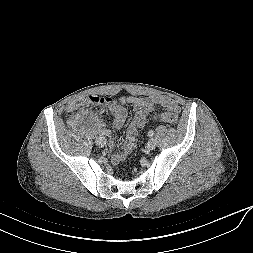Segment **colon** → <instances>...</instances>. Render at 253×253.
<instances>
[{
	"label": "colon",
	"instance_id": "1",
	"mask_svg": "<svg viewBox=\"0 0 253 253\" xmlns=\"http://www.w3.org/2000/svg\"><path fill=\"white\" fill-rule=\"evenodd\" d=\"M116 103L109 98L94 96V95H84L77 97L68 105V111L70 113H77L89 106H105L109 105L113 109ZM162 120L168 123L175 124L178 122V115L174 113H167L162 116Z\"/></svg>",
	"mask_w": 253,
	"mask_h": 253
}]
</instances>
